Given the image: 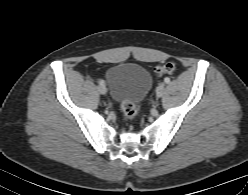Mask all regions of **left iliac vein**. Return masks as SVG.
Masks as SVG:
<instances>
[{
    "label": "left iliac vein",
    "instance_id": "1",
    "mask_svg": "<svg viewBox=\"0 0 248 195\" xmlns=\"http://www.w3.org/2000/svg\"><path fill=\"white\" fill-rule=\"evenodd\" d=\"M163 93H164V85L160 84L156 89V96L157 97H162Z\"/></svg>",
    "mask_w": 248,
    "mask_h": 195
}]
</instances>
